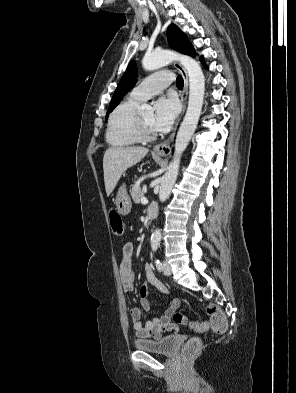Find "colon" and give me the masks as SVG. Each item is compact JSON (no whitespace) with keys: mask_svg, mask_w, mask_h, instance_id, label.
<instances>
[{"mask_svg":"<svg viewBox=\"0 0 296 393\" xmlns=\"http://www.w3.org/2000/svg\"><path fill=\"white\" fill-rule=\"evenodd\" d=\"M109 220L112 232L116 236H122L124 234V224L120 215L115 210H110ZM205 312L211 316L210 325L215 333L221 334L226 331L228 326L227 318L225 313L218 306L209 304L205 307ZM172 318L175 323L188 325L198 332L206 331L209 327L207 323L191 321L179 312H174ZM200 348V340L196 338L192 339L184 345L182 355L186 360H189L199 352Z\"/></svg>","mask_w":296,"mask_h":393,"instance_id":"colon-1","label":"colon"}]
</instances>
